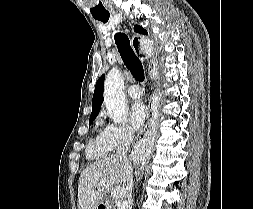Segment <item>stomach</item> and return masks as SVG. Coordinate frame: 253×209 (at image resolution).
<instances>
[{
    "mask_svg": "<svg viewBox=\"0 0 253 209\" xmlns=\"http://www.w3.org/2000/svg\"><path fill=\"white\" fill-rule=\"evenodd\" d=\"M108 199H109L108 196H103V198L100 201L101 203L98 204L96 209H111V203Z\"/></svg>",
    "mask_w": 253,
    "mask_h": 209,
    "instance_id": "obj_1",
    "label": "stomach"
}]
</instances>
